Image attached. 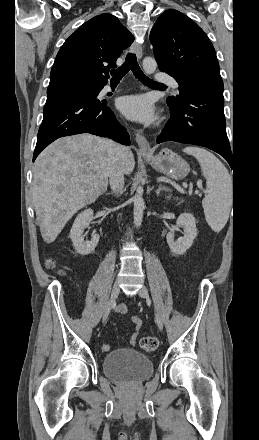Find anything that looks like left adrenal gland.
Returning a JSON list of instances; mask_svg holds the SVG:
<instances>
[{
    "mask_svg": "<svg viewBox=\"0 0 259 440\" xmlns=\"http://www.w3.org/2000/svg\"><path fill=\"white\" fill-rule=\"evenodd\" d=\"M163 191L168 192L169 188H167L166 186L160 185L158 187V189H156V195L159 196Z\"/></svg>",
    "mask_w": 259,
    "mask_h": 440,
    "instance_id": "left-adrenal-gland-1",
    "label": "left adrenal gland"
}]
</instances>
